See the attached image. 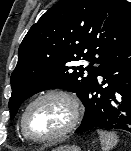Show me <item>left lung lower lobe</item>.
<instances>
[{
    "instance_id": "1",
    "label": "left lung lower lobe",
    "mask_w": 131,
    "mask_h": 151,
    "mask_svg": "<svg viewBox=\"0 0 131 151\" xmlns=\"http://www.w3.org/2000/svg\"><path fill=\"white\" fill-rule=\"evenodd\" d=\"M83 104L85 115L75 133L93 128L131 132V42L99 66Z\"/></svg>"
}]
</instances>
